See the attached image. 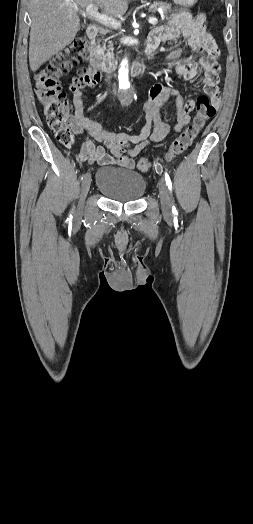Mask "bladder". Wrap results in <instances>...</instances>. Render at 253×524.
I'll return each mask as SVG.
<instances>
[{
	"mask_svg": "<svg viewBox=\"0 0 253 524\" xmlns=\"http://www.w3.org/2000/svg\"><path fill=\"white\" fill-rule=\"evenodd\" d=\"M96 187L109 200L132 202L145 193L146 180L132 170L101 167L97 171Z\"/></svg>",
	"mask_w": 253,
	"mask_h": 524,
	"instance_id": "obj_1",
	"label": "bladder"
}]
</instances>
